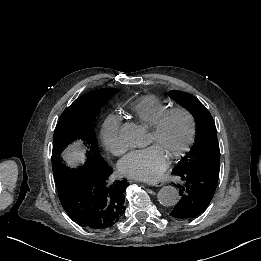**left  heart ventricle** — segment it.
I'll return each mask as SVG.
<instances>
[{
    "instance_id": "left-heart-ventricle-1",
    "label": "left heart ventricle",
    "mask_w": 261,
    "mask_h": 261,
    "mask_svg": "<svg viewBox=\"0 0 261 261\" xmlns=\"http://www.w3.org/2000/svg\"><path fill=\"white\" fill-rule=\"evenodd\" d=\"M189 131L187 119L180 114L172 115L162 130L154 134L147 126V137L143 145L155 144L168 158L185 141Z\"/></svg>"
}]
</instances>
